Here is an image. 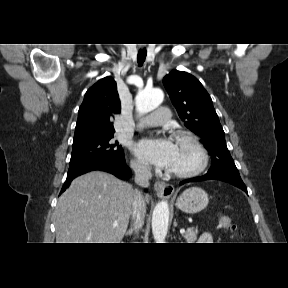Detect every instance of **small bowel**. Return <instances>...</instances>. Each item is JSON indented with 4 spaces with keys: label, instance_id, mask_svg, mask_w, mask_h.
I'll return each mask as SVG.
<instances>
[{
    "label": "small bowel",
    "instance_id": "c3829d8e",
    "mask_svg": "<svg viewBox=\"0 0 288 288\" xmlns=\"http://www.w3.org/2000/svg\"><path fill=\"white\" fill-rule=\"evenodd\" d=\"M200 243H213V237L209 232H204L200 238H199Z\"/></svg>",
    "mask_w": 288,
    "mask_h": 288
}]
</instances>
